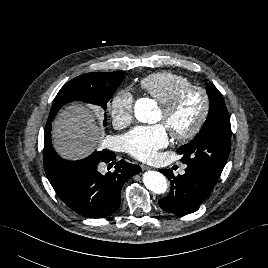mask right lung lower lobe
Segmentation results:
<instances>
[{
  "mask_svg": "<svg viewBox=\"0 0 268 268\" xmlns=\"http://www.w3.org/2000/svg\"><path fill=\"white\" fill-rule=\"evenodd\" d=\"M110 151L94 152L86 159L73 161L68 175L67 187L58 194L60 199L76 213L88 218H103L111 215L120 206L123 184L141 172L138 165L120 160L114 162ZM115 164L114 172L105 175L98 171L99 163Z\"/></svg>",
  "mask_w": 268,
  "mask_h": 268,
  "instance_id": "obj_1",
  "label": "right lung lower lobe"
}]
</instances>
